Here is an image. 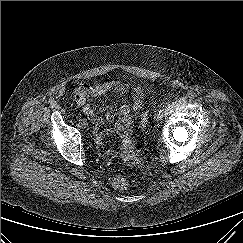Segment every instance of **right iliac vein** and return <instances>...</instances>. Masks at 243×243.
Segmentation results:
<instances>
[{"instance_id":"63e3f726","label":"right iliac vein","mask_w":243,"mask_h":243,"mask_svg":"<svg viewBox=\"0 0 243 243\" xmlns=\"http://www.w3.org/2000/svg\"><path fill=\"white\" fill-rule=\"evenodd\" d=\"M79 124L82 128H86L88 125L85 119L79 120Z\"/></svg>"}]
</instances>
